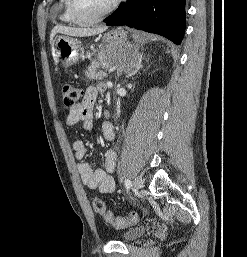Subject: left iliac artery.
<instances>
[{"label":"left iliac artery","mask_w":247,"mask_h":257,"mask_svg":"<svg viewBox=\"0 0 247 257\" xmlns=\"http://www.w3.org/2000/svg\"><path fill=\"white\" fill-rule=\"evenodd\" d=\"M132 186V183L129 179H125V187L127 190H129Z\"/></svg>","instance_id":"1"}]
</instances>
